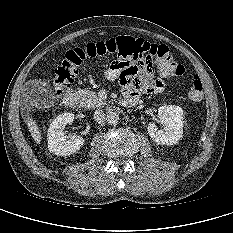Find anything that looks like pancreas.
Instances as JSON below:
<instances>
[{
    "label": "pancreas",
    "mask_w": 233,
    "mask_h": 233,
    "mask_svg": "<svg viewBox=\"0 0 233 233\" xmlns=\"http://www.w3.org/2000/svg\"><path fill=\"white\" fill-rule=\"evenodd\" d=\"M79 97L83 101V105L88 108L101 107L105 104L103 100L97 97L96 93L86 89L78 91Z\"/></svg>",
    "instance_id": "pancreas-1"
}]
</instances>
